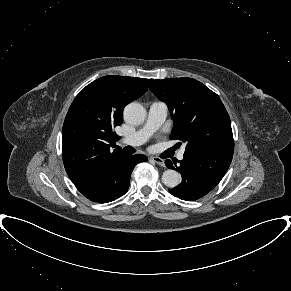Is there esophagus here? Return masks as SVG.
Masks as SVG:
<instances>
[{
  "instance_id": "1",
  "label": "esophagus",
  "mask_w": 291,
  "mask_h": 291,
  "mask_svg": "<svg viewBox=\"0 0 291 291\" xmlns=\"http://www.w3.org/2000/svg\"><path fill=\"white\" fill-rule=\"evenodd\" d=\"M152 160L159 166H164V160L159 157H152Z\"/></svg>"
}]
</instances>
